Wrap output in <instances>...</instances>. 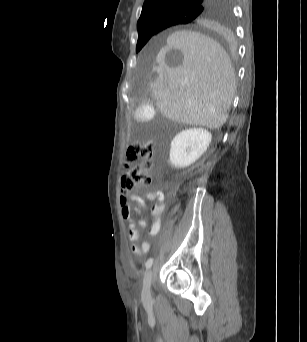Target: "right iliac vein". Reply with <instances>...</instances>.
Here are the masks:
<instances>
[{"mask_svg": "<svg viewBox=\"0 0 307 342\" xmlns=\"http://www.w3.org/2000/svg\"><path fill=\"white\" fill-rule=\"evenodd\" d=\"M152 270H149L143 280V286H142V298L148 299L150 297V287H151V283H152Z\"/></svg>", "mask_w": 307, "mask_h": 342, "instance_id": "1", "label": "right iliac vein"}]
</instances>
